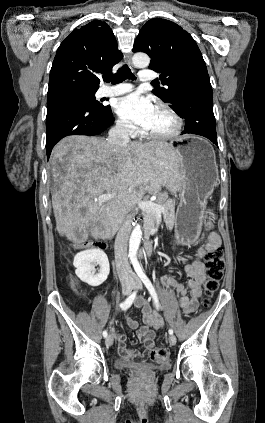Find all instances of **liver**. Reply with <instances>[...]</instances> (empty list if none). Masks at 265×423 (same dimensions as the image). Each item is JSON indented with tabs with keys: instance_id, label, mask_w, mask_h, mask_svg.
I'll list each match as a JSON object with an SVG mask.
<instances>
[{
	"instance_id": "1",
	"label": "liver",
	"mask_w": 265,
	"mask_h": 423,
	"mask_svg": "<svg viewBox=\"0 0 265 423\" xmlns=\"http://www.w3.org/2000/svg\"><path fill=\"white\" fill-rule=\"evenodd\" d=\"M51 165L56 229L75 243L89 233L112 238L146 193L156 194L163 187L171 193L180 190L178 156L166 142L117 146L103 138L68 136L52 150ZM111 193L117 196L103 205L95 201Z\"/></svg>"
}]
</instances>
